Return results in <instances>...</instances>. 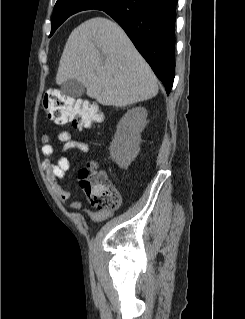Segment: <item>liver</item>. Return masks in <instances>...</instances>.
<instances>
[{
  "label": "liver",
  "mask_w": 245,
  "mask_h": 319,
  "mask_svg": "<svg viewBox=\"0 0 245 319\" xmlns=\"http://www.w3.org/2000/svg\"><path fill=\"white\" fill-rule=\"evenodd\" d=\"M77 79L87 95L102 105L125 107L158 93L157 78L114 21L88 19L70 34L56 75L61 85Z\"/></svg>",
  "instance_id": "liver-1"
}]
</instances>
